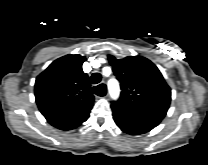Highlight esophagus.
<instances>
[{"instance_id": "esophagus-1", "label": "esophagus", "mask_w": 208, "mask_h": 165, "mask_svg": "<svg viewBox=\"0 0 208 165\" xmlns=\"http://www.w3.org/2000/svg\"><path fill=\"white\" fill-rule=\"evenodd\" d=\"M103 86H105V89H106V93H105V95L102 97V98H104V97H106L107 96V94H108V92H107V85L105 84V83H101ZM100 84V85H101Z\"/></svg>"}]
</instances>
